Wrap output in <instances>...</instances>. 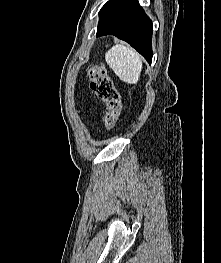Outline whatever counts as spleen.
I'll return each instance as SVG.
<instances>
[{
    "label": "spleen",
    "mask_w": 221,
    "mask_h": 263,
    "mask_svg": "<svg viewBox=\"0 0 221 263\" xmlns=\"http://www.w3.org/2000/svg\"><path fill=\"white\" fill-rule=\"evenodd\" d=\"M109 67L127 84H137L142 71V57L131 47L117 44L105 54Z\"/></svg>",
    "instance_id": "1"
}]
</instances>
